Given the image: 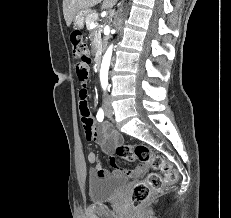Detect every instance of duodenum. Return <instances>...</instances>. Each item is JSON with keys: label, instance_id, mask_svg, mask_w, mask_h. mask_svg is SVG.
<instances>
[{"label": "duodenum", "instance_id": "duodenum-1", "mask_svg": "<svg viewBox=\"0 0 231 218\" xmlns=\"http://www.w3.org/2000/svg\"><path fill=\"white\" fill-rule=\"evenodd\" d=\"M101 64V53L100 51H97L94 56V65L96 68H99Z\"/></svg>", "mask_w": 231, "mask_h": 218}]
</instances>
